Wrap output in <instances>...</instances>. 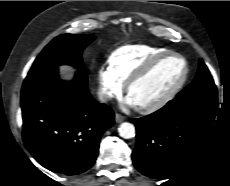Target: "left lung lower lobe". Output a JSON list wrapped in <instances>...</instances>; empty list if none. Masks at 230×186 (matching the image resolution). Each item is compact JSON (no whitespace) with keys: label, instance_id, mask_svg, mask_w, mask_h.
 I'll use <instances>...</instances> for the list:
<instances>
[{"label":"left lung lower lobe","instance_id":"obj_1","mask_svg":"<svg viewBox=\"0 0 230 186\" xmlns=\"http://www.w3.org/2000/svg\"><path fill=\"white\" fill-rule=\"evenodd\" d=\"M216 111L217 92H206L171 100L135 119V167L148 177L171 178L194 159L212 130Z\"/></svg>","mask_w":230,"mask_h":186}]
</instances>
